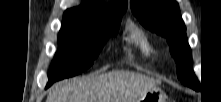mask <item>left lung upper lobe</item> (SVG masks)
Wrapping results in <instances>:
<instances>
[{
    "label": "left lung upper lobe",
    "mask_w": 221,
    "mask_h": 102,
    "mask_svg": "<svg viewBox=\"0 0 221 102\" xmlns=\"http://www.w3.org/2000/svg\"><path fill=\"white\" fill-rule=\"evenodd\" d=\"M131 9L146 28L166 38L177 63L178 79L199 91L200 82L192 69L191 51L178 3L175 0H131Z\"/></svg>",
    "instance_id": "5c2ea615"
}]
</instances>
